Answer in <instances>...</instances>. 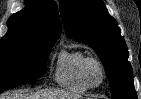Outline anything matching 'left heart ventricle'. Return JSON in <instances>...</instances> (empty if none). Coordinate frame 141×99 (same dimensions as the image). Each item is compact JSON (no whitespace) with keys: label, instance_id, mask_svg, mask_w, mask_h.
Returning a JSON list of instances; mask_svg holds the SVG:
<instances>
[{"label":"left heart ventricle","instance_id":"obj_1","mask_svg":"<svg viewBox=\"0 0 141 99\" xmlns=\"http://www.w3.org/2000/svg\"><path fill=\"white\" fill-rule=\"evenodd\" d=\"M88 76H89V79L91 80V82L93 83H98L101 79V72L99 70V68L95 65V64H92L89 66L88 68Z\"/></svg>","mask_w":141,"mask_h":99}]
</instances>
